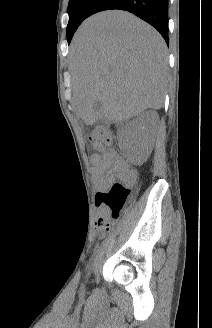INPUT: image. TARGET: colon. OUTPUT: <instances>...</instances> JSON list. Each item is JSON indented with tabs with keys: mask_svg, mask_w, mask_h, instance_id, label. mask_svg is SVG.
I'll return each mask as SVG.
<instances>
[{
	"mask_svg": "<svg viewBox=\"0 0 212 328\" xmlns=\"http://www.w3.org/2000/svg\"><path fill=\"white\" fill-rule=\"evenodd\" d=\"M89 138L91 141L104 146L111 143L110 134L102 128L95 129ZM129 195V187L121 182L113 183L105 190L98 192L96 203L100 209V215L97 225L100 228L109 230L113 226L114 221L119 217L124 208Z\"/></svg>",
	"mask_w": 212,
	"mask_h": 328,
	"instance_id": "colon-1",
	"label": "colon"
}]
</instances>
